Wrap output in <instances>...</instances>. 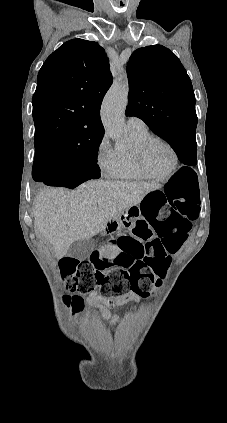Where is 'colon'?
<instances>
[{
    "label": "colon",
    "instance_id": "colon-1",
    "mask_svg": "<svg viewBox=\"0 0 227 423\" xmlns=\"http://www.w3.org/2000/svg\"><path fill=\"white\" fill-rule=\"evenodd\" d=\"M199 209L195 173L179 170L162 188L145 197L142 212L149 226L137 221L131 234L112 240L117 250L113 258L106 261L95 251L88 260H62L60 268L67 289L84 295L98 286L103 294L114 297L129 293L149 297L162 283L170 254L187 240ZM108 266L111 269L106 271ZM65 301L75 312L82 307L79 296H66Z\"/></svg>",
    "mask_w": 227,
    "mask_h": 423
}]
</instances>
